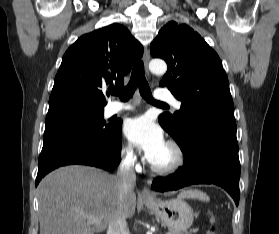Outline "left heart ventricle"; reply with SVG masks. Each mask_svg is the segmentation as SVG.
<instances>
[{
    "label": "left heart ventricle",
    "mask_w": 279,
    "mask_h": 234,
    "mask_svg": "<svg viewBox=\"0 0 279 234\" xmlns=\"http://www.w3.org/2000/svg\"><path fill=\"white\" fill-rule=\"evenodd\" d=\"M172 158V151L165 145V147L151 161L157 165H165L171 162Z\"/></svg>",
    "instance_id": "obj_1"
}]
</instances>
